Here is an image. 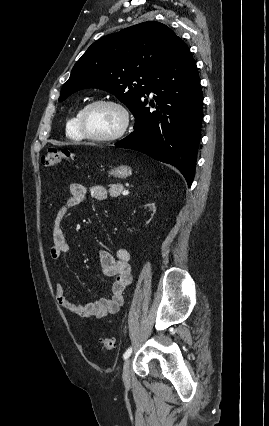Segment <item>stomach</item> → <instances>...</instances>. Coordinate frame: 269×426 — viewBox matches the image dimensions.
I'll list each match as a JSON object with an SVG mask.
<instances>
[{"instance_id": "1", "label": "stomach", "mask_w": 269, "mask_h": 426, "mask_svg": "<svg viewBox=\"0 0 269 426\" xmlns=\"http://www.w3.org/2000/svg\"><path fill=\"white\" fill-rule=\"evenodd\" d=\"M109 174L113 175L114 177H118V178H126L129 175L132 174V170L129 166L127 165H120L114 169H112Z\"/></svg>"}]
</instances>
